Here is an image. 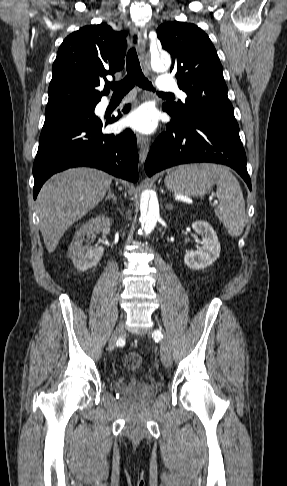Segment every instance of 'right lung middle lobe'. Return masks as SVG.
I'll use <instances>...</instances> for the list:
<instances>
[{
	"mask_svg": "<svg viewBox=\"0 0 287 486\" xmlns=\"http://www.w3.org/2000/svg\"><path fill=\"white\" fill-rule=\"evenodd\" d=\"M96 104L97 102L76 103L46 109L43 127L56 125L70 120H79L86 116H90L92 113H94Z\"/></svg>",
	"mask_w": 287,
	"mask_h": 486,
	"instance_id": "obj_1",
	"label": "right lung middle lobe"
}]
</instances>
